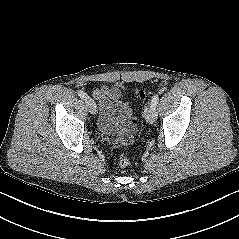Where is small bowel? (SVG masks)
Instances as JSON below:
<instances>
[{"mask_svg":"<svg viewBox=\"0 0 239 239\" xmlns=\"http://www.w3.org/2000/svg\"><path fill=\"white\" fill-rule=\"evenodd\" d=\"M93 97L98 101L101 116L99 128L107 135H114L119 131V125L128 122V127L135 123L131 119L128 106L120 101L121 91L116 86L104 85L92 91Z\"/></svg>","mask_w":239,"mask_h":239,"instance_id":"c3829d8e","label":"small bowel"}]
</instances>
